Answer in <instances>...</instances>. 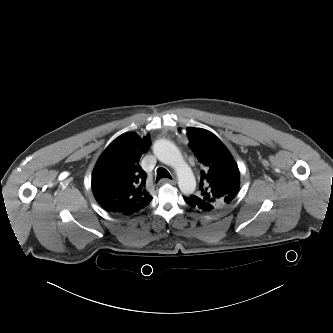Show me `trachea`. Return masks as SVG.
<instances>
[{
    "mask_svg": "<svg viewBox=\"0 0 333 333\" xmlns=\"http://www.w3.org/2000/svg\"><path fill=\"white\" fill-rule=\"evenodd\" d=\"M162 178L172 179L170 173L165 168L160 167V168L157 169L156 181L158 182Z\"/></svg>",
    "mask_w": 333,
    "mask_h": 333,
    "instance_id": "obj_1",
    "label": "trachea"
}]
</instances>
